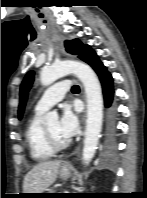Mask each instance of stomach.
Returning <instances> with one entry per match:
<instances>
[{"instance_id": "1", "label": "stomach", "mask_w": 147, "mask_h": 198, "mask_svg": "<svg viewBox=\"0 0 147 198\" xmlns=\"http://www.w3.org/2000/svg\"><path fill=\"white\" fill-rule=\"evenodd\" d=\"M59 175L61 179H64V180L68 179L71 175V169L63 166L59 171ZM43 193H45L44 197H46L48 194L56 193V192H54L53 190H47V192H43Z\"/></svg>"}]
</instances>
